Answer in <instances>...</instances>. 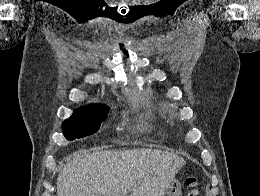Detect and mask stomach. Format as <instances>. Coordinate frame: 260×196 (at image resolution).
Segmentation results:
<instances>
[{"label":"stomach","instance_id":"obj_1","mask_svg":"<svg viewBox=\"0 0 260 196\" xmlns=\"http://www.w3.org/2000/svg\"><path fill=\"white\" fill-rule=\"evenodd\" d=\"M170 185H179V180H170ZM182 191V187H168V191L161 193V196H180Z\"/></svg>","mask_w":260,"mask_h":196}]
</instances>
